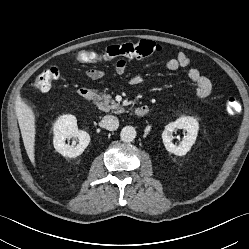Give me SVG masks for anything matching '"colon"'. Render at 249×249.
Here are the masks:
<instances>
[{"instance_id": "obj_1", "label": "colon", "mask_w": 249, "mask_h": 249, "mask_svg": "<svg viewBox=\"0 0 249 249\" xmlns=\"http://www.w3.org/2000/svg\"><path fill=\"white\" fill-rule=\"evenodd\" d=\"M160 47L153 41L140 40L118 45H112L102 52L80 50L75 54V60L79 64L109 62L117 58L141 59L155 55ZM59 76L56 68H49L39 73L32 81L31 86L40 92L49 91ZM241 111V105L237 98L230 97L225 104V112L228 116H236Z\"/></svg>"}]
</instances>
